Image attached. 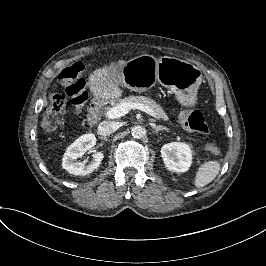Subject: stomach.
<instances>
[{"label": "stomach", "instance_id": "obj_1", "mask_svg": "<svg viewBox=\"0 0 266 266\" xmlns=\"http://www.w3.org/2000/svg\"><path fill=\"white\" fill-rule=\"evenodd\" d=\"M118 77L122 86L136 92L149 90L156 82L170 89L181 108H194L198 102V88L202 84V72L195 65L173 57L158 62L150 57L126 61ZM145 71V72H144Z\"/></svg>", "mask_w": 266, "mask_h": 266}]
</instances>
